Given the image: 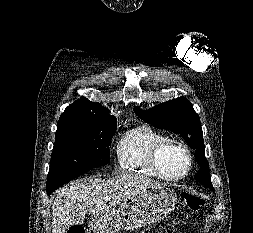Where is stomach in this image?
<instances>
[{
    "instance_id": "obj_1",
    "label": "stomach",
    "mask_w": 253,
    "mask_h": 233,
    "mask_svg": "<svg viewBox=\"0 0 253 233\" xmlns=\"http://www.w3.org/2000/svg\"><path fill=\"white\" fill-rule=\"evenodd\" d=\"M176 204V194L164 185L153 186L122 203L118 208L94 214L90 233H118L156 222L168 215Z\"/></svg>"
}]
</instances>
